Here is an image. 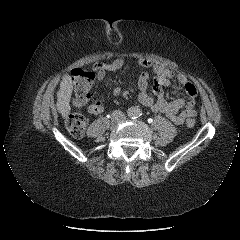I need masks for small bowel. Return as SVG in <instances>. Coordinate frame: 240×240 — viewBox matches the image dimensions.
<instances>
[{
    "label": "small bowel",
    "instance_id": "1",
    "mask_svg": "<svg viewBox=\"0 0 240 240\" xmlns=\"http://www.w3.org/2000/svg\"><path fill=\"white\" fill-rule=\"evenodd\" d=\"M124 61L115 59L108 63H97L93 70L96 72L98 80L103 79L106 72H114L122 68ZM140 75L138 80L139 95L138 99L141 104L148 107L153 112L163 113L168 116L174 123L182 124L188 117L197 115L196 96L197 90L194 84L188 81L185 74L168 69L159 62L150 60H141ZM149 71L155 75L153 83V96L148 93ZM176 77L180 82L177 89H183L184 98L168 100L163 92V87L171 86V79ZM120 88L114 89V95L120 94ZM89 112L93 115H99L104 112L103 99L99 98L90 105Z\"/></svg>",
    "mask_w": 240,
    "mask_h": 240
}]
</instances>
